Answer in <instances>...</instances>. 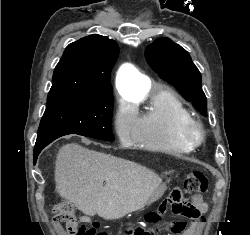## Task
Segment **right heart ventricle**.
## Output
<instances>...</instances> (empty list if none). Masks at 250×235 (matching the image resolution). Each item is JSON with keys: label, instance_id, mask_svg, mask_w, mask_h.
<instances>
[{"label": "right heart ventricle", "instance_id": "obj_1", "mask_svg": "<svg viewBox=\"0 0 250 235\" xmlns=\"http://www.w3.org/2000/svg\"><path fill=\"white\" fill-rule=\"evenodd\" d=\"M190 117V110L174 92L159 89L150 98L146 110L137 115L138 134L134 143L152 152L187 154L192 148L180 139L179 127Z\"/></svg>", "mask_w": 250, "mask_h": 235}]
</instances>
